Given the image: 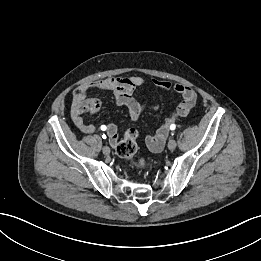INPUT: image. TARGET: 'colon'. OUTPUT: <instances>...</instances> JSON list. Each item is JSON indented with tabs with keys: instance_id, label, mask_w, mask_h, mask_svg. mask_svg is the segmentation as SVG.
I'll return each mask as SVG.
<instances>
[{
	"instance_id": "5ec220e1",
	"label": "colon",
	"mask_w": 261,
	"mask_h": 261,
	"mask_svg": "<svg viewBox=\"0 0 261 261\" xmlns=\"http://www.w3.org/2000/svg\"><path fill=\"white\" fill-rule=\"evenodd\" d=\"M79 94V89L75 90L74 95ZM100 104L97 100L82 101L78 105V111L82 114L85 112L95 113L99 110ZM137 138L138 133L135 129H129L125 132L122 139L116 145L117 154L124 159L133 160L135 153L137 152ZM138 168H146L147 162L144 159H140L135 162Z\"/></svg>"
}]
</instances>
